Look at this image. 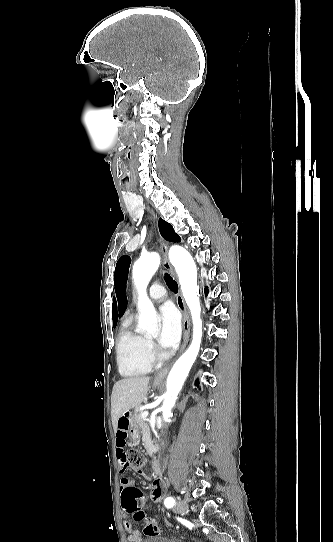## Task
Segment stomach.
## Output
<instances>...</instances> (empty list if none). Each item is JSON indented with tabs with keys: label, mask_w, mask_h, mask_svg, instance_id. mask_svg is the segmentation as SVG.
I'll return each instance as SVG.
<instances>
[{
	"label": "stomach",
	"mask_w": 333,
	"mask_h": 542,
	"mask_svg": "<svg viewBox=\"0 0 333 542\" xmlns=\"http://www.w3.org/2000/svg\"><path fill=\"white\" fill-rule=\"evenodd\" d=\"M152 386H153V388H160V386H162V384H155V382H153ZM126 416H127V414H126ZM127 417L129 419L128 432H129L130 440H132V442H136V440H138L140 438L139 430L136 429L137 424H135L134 420H132V416H127Z\"/></svg>",
	"instance_id": "1"
}]
</instances>
